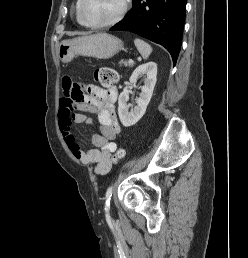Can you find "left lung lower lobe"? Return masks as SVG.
I'll use <instances>...</instances> for the list:
<instances>
[{"label": "left lung lower lobe", "mask_w": 248, "mask_h": 258, "mask_svg": "<svg viewBox=\"0 0 248 258\" xmlns=\"http://www.w3.org/2000/svg\"><path fill=\"white\" fill-rule=\"evenodd\" d=\"M186 0H133V7L110 30H127L165 47L175 65L181 48Z\"/></svg>", "instance_id": "1"}]
</instances>
